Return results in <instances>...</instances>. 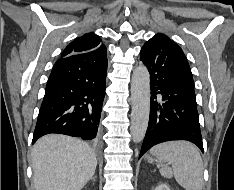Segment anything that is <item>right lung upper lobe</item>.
I'll return each instance as SVG.
<instances>
[{"label": "right lung upper lobe", "instance_id": "1", "mask_svg": "<svg viewBox=\"0 0 234 190\" xmlns=\"http://www.w3.org/2000/svg\"><path fill=\"white\" fill-rule=\"evenodd\" d=\"M93 50H106V47L101 43V39L98 35L94 33H87L72 41L62 52L60 58L90 52Z\"/></svg>", "mask_w": 234, "mask_h": 190}]
</instances>
